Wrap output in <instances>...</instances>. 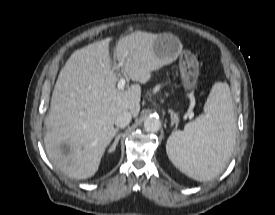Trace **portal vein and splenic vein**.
<instances>
[{"mask_svg":"<svg viewBox=\"0 0 275 215\" xmlns=\"http://www.w3.org/2000/svg\"><path fill=\"white\" fill-rule=\"evenodd\" d=\"M121 64H117L113 67V70L119 71ZM126 84V80L125 78H120L118 85H117V89L118 90H123Z\"/></svg>","mask_w":275,"mask_h":215,"instance_id":"obj_1","label":"portal vein and splenic vein"}]
</instances>
